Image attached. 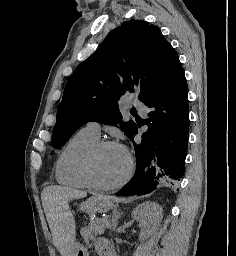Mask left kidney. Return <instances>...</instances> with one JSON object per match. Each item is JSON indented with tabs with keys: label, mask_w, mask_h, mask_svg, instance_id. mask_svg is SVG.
Segmentation results:
<instances>
[{
	"label": "left kidney",
	"mask_w": 236,
	"mask_h": 256,
	"mask_svg": "<svg viewBox=\"0 0 236 256\" xmlns=\"http://www.w3.org/2000/svg\"><path fill=\"white\" fill-rule=\"evenodd\" d=\"M132 218L140 222V240H147L152 232L158 230L162 220V208L156 202H144L136 206L132 212Z\"/></svg>",
	"instance_id": "1"
}]
</instances>
